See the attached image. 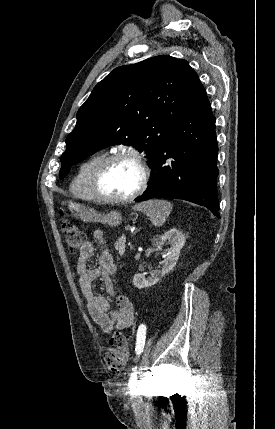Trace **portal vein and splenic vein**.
Here are the masks:
<instances>
[{"label":"portal vein and splenic vein","mask_w":275,"mask_h":429,"mask_svg":"<svg viewBox=\"0 0 275 429\" xmlns=\"http://www.w3.org/2000/svg\"><path fill=\"white\" fill-rule=\"evenodd\" d=\"M126 229H128V230H129V229H130V227H127Z\"/></svg>","instance_id":"1"}]
</instances>
